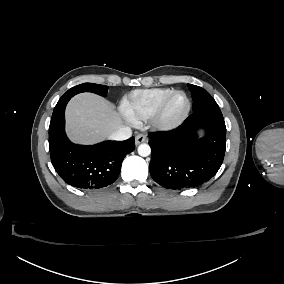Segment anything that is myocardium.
Returning <instances> with one entry per match:
<instances>
[{"label": "myocardium", "mask_w": 284, "mask_h": 284, "mask_svg": "<svg viewBox=\"0 0 284 284\" xmlns=\"http://www.w3.org/2000/svg\"><path fill=\"white\" fill-rule=\"evenodd\" d=\"M179 92H183L186 95L187 99L186 110L184 114L177 121L170 124H166L162 122V116L166 109L167 103L173 95ZM191 108H192V102L188 93L182 89L173 90L161 99V101L159 102L153 113L148 118L149 127L151 128L152 131L157 133H162V134L172 133L178 130L185 123V121L189 117Z\"/></svg>", "instance_id": "obj_1"}]
</instances>
